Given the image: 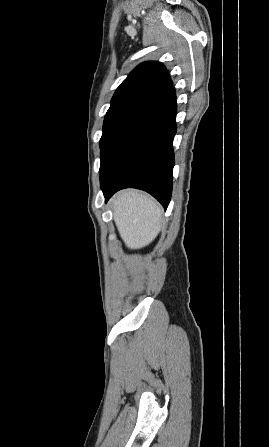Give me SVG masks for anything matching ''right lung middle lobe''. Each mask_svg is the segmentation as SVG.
Segmentation results:
<instances>
[{
    "mask_svg": "<svg viewBox=\"0 0 269 447\" xmlns=\"http://www.w3.org/2000/svg\"><path fill=\"white\" fill-rule=\"evenodd\" d=\"M131 113V111L123 110L118 112L109 113L105 116L103 124V134L100 140L101 152L104 149L106 140L117 127V125Z\"/></svg>",
    "mask_w": 269,
    "mask_h": 447,
    "instance_id": "dd1d6c3e",
    "label": "right lung middle lobe"
}]
</instances>
